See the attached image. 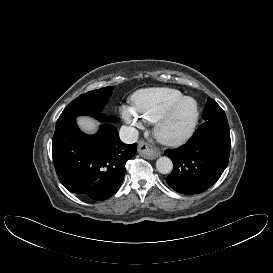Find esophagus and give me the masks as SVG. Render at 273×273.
I'll list each match as a JSON object with an SVG mask.
<instances>
[{"label": "esophagus", "instance_id": "obj_1", "mask_svg": "<svg viewBox=\"0 0 273 273\" xmlns=\"http://www.w3.org/2000/svg\"><path fill=\"white\" fill-rule=\"evenodd\" d=\"M138 153L147 159H156L161 155V151L158 148L150 146L144 140L138 142Z\"/></svg>", "mask_w": 273, "mask_h": 273}]
</instances>
